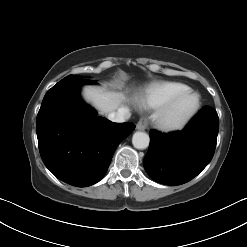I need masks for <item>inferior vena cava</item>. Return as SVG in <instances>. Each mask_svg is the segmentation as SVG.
Returning a JSON list of instances; mask_svg holds the SVG:
<instances>
[{
	"label": "inferior vena cava",
	"instance_id": "602c4592",
	"mask_svg": "<svg viewBox=\"0 0 247 247\" xmlns=\"http://www.w3.org/2000/svg\"><path fill=\"white\" fill-rule=\"evenodd\" d=\"M131 113L127 107H121L117 111L108 114V119L113 122H124L129 119Z\"/></svg>",
	"mask_w": 247,
	"mask_h": 247
}]
</instances>
